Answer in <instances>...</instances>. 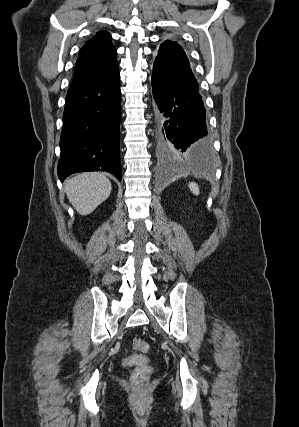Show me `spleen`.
Listing matches in <instances>:
<instances>
[{
  "mask_svg": "<svg viewBox=\"0 0 299 427\" xmlns=\"http://www.w3.org/2000/svg\"><path fill=\"white\" fill-rule=\"evenodd\" d=\"M188 186H189V188H190V190H191V192L193 194H195V195L199 194V186H198V184H196L195 182H191V183H189Z\"/></svg>",
  "mask_w": 299,
  "mask_h": 427,
  "instance_id": "1",
  "label": "spleen"
}]
</instances>
